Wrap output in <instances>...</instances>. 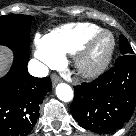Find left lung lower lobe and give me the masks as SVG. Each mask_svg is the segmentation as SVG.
I'll use <instances>...</instances> for the list:
<instances>
[{"label": "left lung lower lobe", "mask_w": 136, "mask_h": 136, "mask_svg": "<svg viewBox=\"0 0 136 136\" xmlns=\"http://www.w3.org/2000/svg\"><path fill=\"white\" fill-rule=\"evenodd\" d=\"M71 113L80 126L109 133L128 121L136 105V56H120L113 68L92 83L74 88Z\"/></svg>", "instance_id": "0a47b994"}]
</instances>
